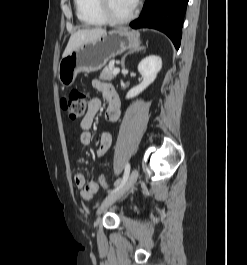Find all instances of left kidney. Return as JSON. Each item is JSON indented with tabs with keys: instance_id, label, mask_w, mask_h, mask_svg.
<instances>
[{
	"instance_id": "left-kidney-1",
	"label": "left kidney",
	"mask_w": 247,
	"mask_h": 265,
	"mask_svg": "<svg viewBox=\"0 0 247 265\" xmlns=\"http://www.w3.org/2000/svg\"><path fill=\"white\" fill-rule=\"evenodd\" d=\"M162 68V60L159 56L151 55L144 58L138 65V71L143 77V81L130 89L126 98H132L144 91L157 77Z\"/></svg>"
}]
</instances>
